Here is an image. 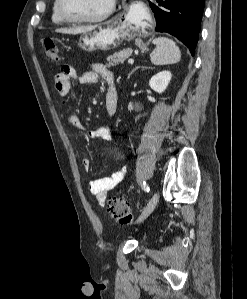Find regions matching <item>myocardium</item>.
Masks as SVG:
<instances>
[{
    "label": "myocardium",
    "instance_id": "1",
    "mask_svg": "<svg viewBox=\"0 0 247 299\" xmlns=\"http://www.w3.org/2000/svg\"><path fill=\"white\" fill-rule=\"evenodd\" d=\"M115 8V0H112L108 8L101 14L93 17H75L69 14L65 8V0H57V9L60 16L71 23H97L108 18Z\"/></svg>",
    "mask_w": 247,
    "mask_h": 299
}]
</instances>
